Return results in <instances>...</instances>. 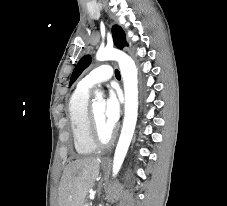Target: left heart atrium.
Listing matches in <instances>:
<instances>
[{"instance_id": "left-heart-atrium-1", "label": "left heart atrium", "mask_w": 227, "mask_h": 206, "mask_svg": "<svg viewBox=\"0 0 227 206\" xmlns=\"http://www.w3.org/2000/svg\"><path fill=\"white\" fill-rule=\"evenodd\" d=\"M104 103V119L107 126L113 130L120 117V98L116 92H110Z\"/></svg>"}]
</instances>
